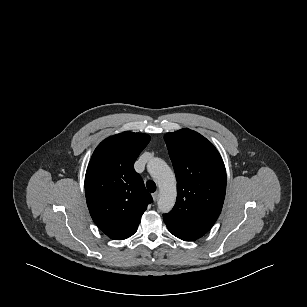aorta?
Returning a JSON list of instances; mask_svg holds the SVG:
<instances>
[{
  "label": "aorta",
  "mask_w": 307,
  "mask_h": 307,
  "mask_svg": "<svg viewBox=\"0 0 307 307\" xmlns=\"http://www.w3.org/2000/svg\"><path fill=\"white\" fill-rule=\"evenodd\" d=\"M147 169L159 187L158 209L167 213L174 207L176 202L175 175L167 163L160 158L151 159L147 164Z\"/></svg>",
  "instance_id": "762f6f07"
}]
</instances>
